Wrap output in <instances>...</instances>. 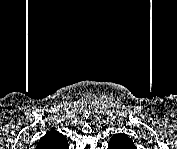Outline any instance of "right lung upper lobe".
<instances>
[{
	"mask_svg": "<svg viewBox=\"0 0 177 149\" xmlns=\"http://www.w3.org/2000/svg\"><path fill=\"white\" fill-rule=\"evenodd\" d=\"M47 134H51V135H56L55 136V140L51 142V144H49L46 147H41V148H49V149H64L62 148L61 145H63L65 142H67L66 137L56 131H50ZM46 134V135H47Z\"/></svg>",
	"mask_w": 177,
	"mask_h": 149,
	"instance_id": "right-lung-upper-lobe-1",
	"label": "right lung upper lobe"
}]
</instances>
